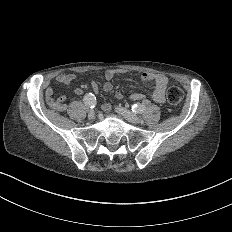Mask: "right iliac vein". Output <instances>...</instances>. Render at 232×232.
Instances as JSON below:
<instances>
[{
  "instance_id": "obj_1",
  "label": "right iliac vein",
  "mask_w": 232,
  "mask_h": 232,
  "mask_svg": "<svg viewBox=\"0 0 232 232\" xmlns=\"http://www.w3.org/2000/svg\"><path fill=\"white\" fill-rule=\"evenodd\" d=\"M95 115H96V112H95L94 110H91V111L88 112V117H89V119L94 118Z\"/></svg>"
}]
</instances>
